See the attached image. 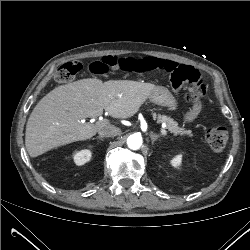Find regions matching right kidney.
I'll return each instance as SVG.
<instances>
[{"mask_svg":"<svg viewBox=\"0 0 250 250\" xmlns=\"http://www.w3.org/2000/svg\"><path fill=\"white\" fill-rule=\"evenodd\" d=\"M91 151L90 150H81L74 154L73 159L76 165L81 166L87 163L91 159Z\"/></svg>","mask_w":250,"mask_h":250,"instance_id":"1","label":"right kidney"}]
</instances>
